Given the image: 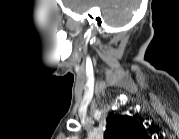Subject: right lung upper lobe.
Returning a JSON list of instances; mask_svg holds the SVG:
<instances>
[{
    "label": "right lung upper lobe",
    "instance_id": "right-lung-upper-lobe-1",
    "mask_svg": "<svg viewBox=\"0 0 179 139\" xmlns=\"http://www.w3.org/2000/svg\"><path fill=\"white\" fill-rule=\"evenodd\" d=\"M106 120L105 139L147 138L144 126L128 115H110Z\"/></svg>",
    "mask_w": 179,
    "mask_h": 139
}]
</instances>
